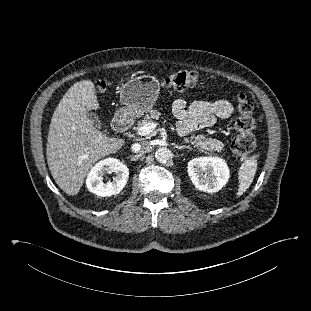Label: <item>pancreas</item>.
<instances>
[{"label":"pancreas","instance_id":"pancreas-1","mask_svg":"<svg viewBox=\"0 0 311 311\" xmlns=\"http://www.w3.org/2000/svg\"><path fill=\"white\" fill-rule=\"evenodd\" d=\"M160 118V112L157 110H150L146 114L142 121L138 122V128L142 127L146 123H150L153 120H158ZM191 143L199 148L201 151H221L224 149V145L221 141L217 139L207 138L205 135H193L190 139Z\"/></svg>","mask_w":311,"mask_h":311}]
</instances>
